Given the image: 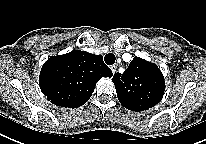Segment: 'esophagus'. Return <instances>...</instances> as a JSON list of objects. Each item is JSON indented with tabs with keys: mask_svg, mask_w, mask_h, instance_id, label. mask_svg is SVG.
Listing matches in <instances>:
<instances>
[{
	"mask_svg": "<svg viewBox=\"0 0 206 144\" xmlns=\"http://www.w3.org/2000/svg\"><path fill=\"white\" fill-rule=\"evenodd\" d=\"M110 69H111V71H112V73L113 74H115V72H116V70H117V65H112L111 67H110Z\"/></svg>",
	"mask_w": 206,
	"mask_h": 144,
	"instance_id": "esophagus-1",
	"label": "esophagus"
}]
</instances>
